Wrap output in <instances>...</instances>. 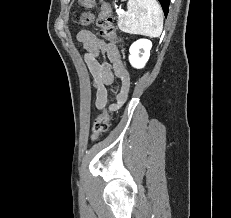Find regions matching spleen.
I'll use <instances>...</instances> for the list:
<instances>
[{"label": "spleen", "mask_w": 231, "mask_h": 218, "mask_svg": "<svg viewBox=\"0 0 231 218\" xmlns=\"http://www.w3.org/2000/svg\"><path fill=\"white\" fill-rule=\"evenodd\" d=\"M129 34L159 37L163 29V11L156 0H128L127 12L118 22Z\"/></svg>", "instance_id": "1"}]
</instances>
